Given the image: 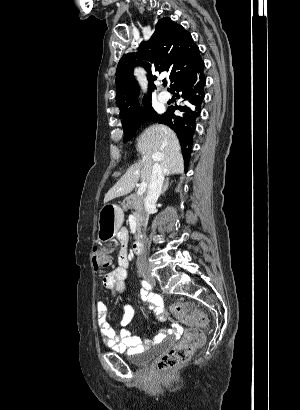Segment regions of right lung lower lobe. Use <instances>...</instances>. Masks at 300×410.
<instances>
[{
  "label": "right lung lower lobe",
  "instance_id": "1",
  "mask_svg": "<svg viewBox=\"0 0 300 410\" xmlns=\"http://www.w3.org/2000/svg\"><path fill=\"white\" fill-rule=\"evenodd\" d=\"M205 83L204 62L200 57L171 86V91L177 92L174 95L178 99H182V103L168 107L163 115L157 116L159 123L166 124L176 131L182 146L185 164L189 162L190 155H185L183 148L191 147L192 150L196 121L200 116L205 95Z\"/></svg>",
  "mask_w": 300,
  "mask_h": 410
}]
</instances>
